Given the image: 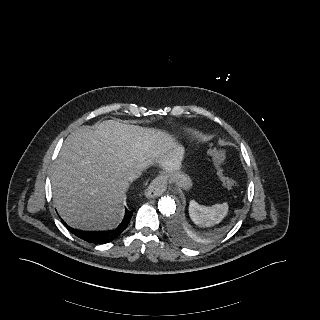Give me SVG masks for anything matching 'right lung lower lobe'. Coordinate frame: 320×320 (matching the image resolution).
<instances>
[{"mask_svg":"<svg viewBox=\"0 0 320 320\" xmlns=\"http://www.w3.org/2000/svg\"><path fill=\"white\" fill-rule=\"evenodd\" d=\"M132 214L133 212L126 209L125 216L122 223L116 229H113L110 231H81L68 226L65 222L63 223L66 226V228L77 237L89 243L104 244V243L111 242L124 231V229L127 227V225L130 222Z\"/></svg>","mask_w":320,"mask_h":320,"instance_id":"98d812e1","label":"right lung lower lobe"}]
</instances>
